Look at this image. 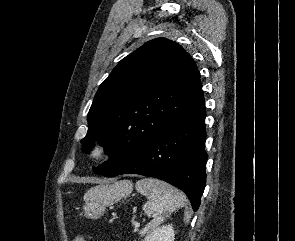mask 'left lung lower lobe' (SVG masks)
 <instances>
[{
    "mask_svg": "<svg viewBox=\"0 0 295 241\" xmlns=\"http://www.w3.org/2000/svg\"><path fill=\"white\" fill-rule=\"evenodd\" d=\"M205 102L152 137L111 175L139 174L164 180L181 189L194 211L206 184Z\"/></svg>",
    "mask_w": 295,
    "mask_h": 241,
    "instance_id": "1",
    "label": "left lung lower lobe"
}]
</instances>
